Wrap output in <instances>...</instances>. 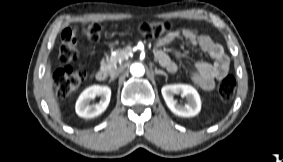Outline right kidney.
<instances>
[{
    "label": "right kidney",
    "instance_id": "right-kidney-1",
    "mask_svg": "<svg viewBox=\"0 0 283 162\" xmlns=\"http://www.w3.org/2000/svg\"><path fill=\"white\" fill-rule=\"evenodd\" d=\"M96 96H100L98 104H90ZM111 89L108 86L92 85L85 89L79 96L75 110L78 116L83 118H93L103 113L109 105Z\"/></svg>",
    "mask_w": 283,
    "mask_h": 162
}]
</instances>
